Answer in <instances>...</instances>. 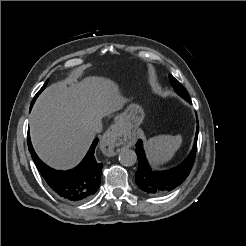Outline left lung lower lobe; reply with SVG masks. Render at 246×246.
Returning a JSON list of instances; mask_svg holds the SVG:
<instances>
[{
    "mask_svg": "<svg viewBox=\"0 0 246 246\" xmlns=\"http://www.w3.org/2000/svg\"><path fill=\"white\" fill-rule=\"evenodd\" d=\"M185 100L191 103L190 98ZM198 131L199 124L197 122L194 145L187 158L177 167L161 172L153 171L150 168L143 149L142 140H138L136 144L138 169L135 174V181L142 191L153 196L166 194L178 187L187 178L195 160Z\"/></svg>",
    "mask_w": 246,
    "mask_h": 246,
    "instance_id": "left-lung-lower-lobe-1",
    "label": "left lung lower lobe"
}]
</instances>
